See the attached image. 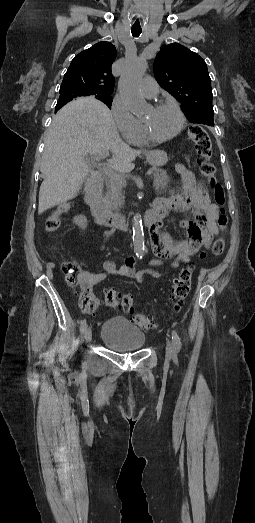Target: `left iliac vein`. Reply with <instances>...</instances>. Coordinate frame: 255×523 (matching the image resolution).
Returning a JSON list of instances; mask_svg holds the SVG:
<instances>
[{
	"instance_id": "obj_1",
	"label": "left iliac vein",
	"mask_w": 255,
	"mask_h": 523,
	"mask_svg": "<svg viewBox=\"0 0 255 523\" xmlns=\"http://www.w3.org/2000/svg\"><path fill=\"white\" fill-rule=\"evenodd\" d=\"M173 355V347L171 342L167 339L166 341V358L170 359Z\"/></svg>"
}]
</instances>
